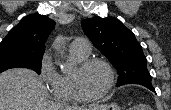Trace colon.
<instances>
[{
    "label": "colon",
    "mask_w": 171,
    "mask_h": 110,
    "mask_svg": "<svg viewBox=\"0 0 171 110\" xmlns=\"http://www.w3.org/2000/svg\"><path fill=\"white\" fill-rule=\"evenodd\" d=\"M129 110H139V108L137 106H133Z\"/></svg>",
    "instance_id": "5ec220e1"
}]
</instances>
